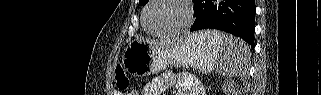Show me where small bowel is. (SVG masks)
<instances>
[{"label": "small bowel", "mask_w": 321, "mask_h": 95, "mask_svg": "<svg viewBox=\"0 0 321 95\" xmlns=\"http://www.w3.org/2000/svg\"><path fill=\"white\" fill-rule=\"evenodd\" d=\"M136 91L128 92L127 95H138ZM143 95H163V91H159V86L157 84H150L143 92ZM203 88L201 86L195 89L194 95H202Z\"/></svg>", "instance_id": "small-bowel-1"}]
</instances>
